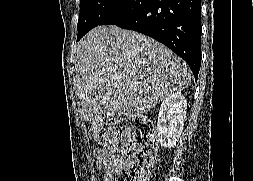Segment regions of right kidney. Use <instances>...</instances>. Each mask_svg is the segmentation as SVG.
<instances>
[{
	"label": "right kidney",
	"mask_w": 253,
	"mask_h": 181,
	"mask_svg": "<svg viewBox=\"0 0 253 181\" xmlns=\"http://www.w3.org/2000/svg\"><path fill=\"white\" fill-rule=\"evenodd\" d=\"M187 101L180 92H172L160 105L157 131L160 145L172 148L176 145L186 117Z\"/></svg>",
	"instance_id": "right-kidney-1"
}]
</instances>
